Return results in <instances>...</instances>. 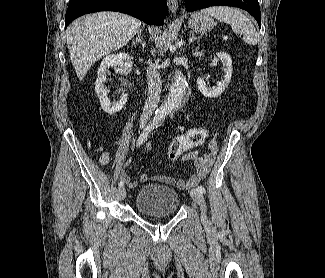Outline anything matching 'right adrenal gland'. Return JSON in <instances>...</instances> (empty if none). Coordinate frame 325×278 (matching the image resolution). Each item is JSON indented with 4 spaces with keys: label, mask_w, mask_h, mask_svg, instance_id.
<instances>
[{
    "label": "right adrenal gland",
    "mask_w": 325,
    "mask_h": 278,
    "mask_svg": "<svg viewBox=\"0 0 325 278\" xmlns=\"http://www.w3.org/2000/svg\"><path fill=\"white\" fill-rule=\"evenodd\" d=\"M142 31H143L142 29L138 30L137 37L135 40H133L132 45L140 43L144 49L146 47V43L142 40Z\"/></svg>",
    "instance_id": "right-adrenal-gland-1"
}]
</instances>
